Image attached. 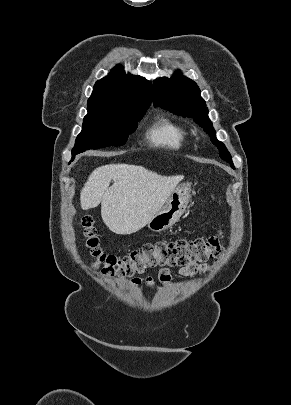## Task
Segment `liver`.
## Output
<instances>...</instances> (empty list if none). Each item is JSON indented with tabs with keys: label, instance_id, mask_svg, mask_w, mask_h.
Returning a JSON list of instances; mask_svg holds the SVG:
<instances>
[{
	"label": "liver",
	"instance_id": "obj_1",
	"mask_svg": "<svg viewBox=\"0 0 291 405\" xmlns=\"http://www.w3.org/2000/svg\"><path fill=\"white\" fill-rule=\"evenodd\" d=\"M182 179V175L162 176L136 165L101 166L81 190V208L88 210L101 203V216L109 230L132 234L147 225ZM111 180L114 183L109 187Z\"/></svg>",
	"mask_w": 291,
	"mask_h": 405
}]
</instances>
